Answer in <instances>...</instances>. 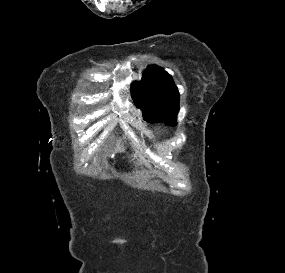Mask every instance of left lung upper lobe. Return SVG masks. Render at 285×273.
Instances as JSON below:
<instances>
[{
    "label": "left lung upper lobe",
    "instance_id": "obj_1",
    "mask_svg": "<svg viewBox=\"0 0 285 273\" xmlns=\"http://www.w3.org/2000/svg\"><path fill=\"white\" fill-rule=\"evenodd\" d=\"M132 97L148 121L175 125L179 111V93L173 78L158 67L149 66L141 81L134 82Z\"/></svg>",
    "mask_w": 285,
    "mask_h": 273
}]
</instances>
